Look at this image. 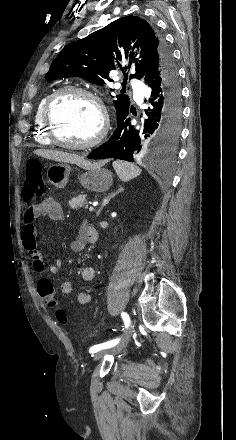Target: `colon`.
I'll return each instance as SVG.
<instances>
[{
	"instance_id": "obj_1",
	"label": "colon",
	"mask_w": 236,
	"mask_h": 440,
	"mask_svg": "<svg viewBox=\"0 0 236 440\" xmlns=\"http://www.w3.org/2000/svg\"><path fill=\"white\" fill-rule=\"evenodd\" d=\"M43 191L44 178L41 164L37 160H31L26 164L25 167V182L22 191L23 199L25 201H31L33 199L39 198L42 196ZM38 291L48 307H56L54 288L49 280H40L38 282ZM55 314L56 318L61 323H67V316L62 309L56 308Z\"/></svg>"
}]
</instances>
